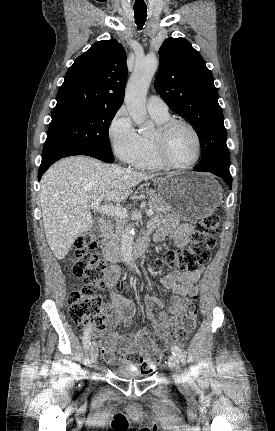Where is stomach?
<instances>
[{
	"instance_id": "1",
	"label": "stomach",
	"mask_w": 275,
	"mask_h": 431,
	"mask_svg": "<svg viewBox=\"0 0 275 431\" xmlns=\"http://www.w3.org/2000/svg\"><path fill=\"white\" fill-rule=\"evenodd\" d=\"M159 196L179 218L194 222L212 214L220 204L222 190L205 173H173L158 186Z\"/></svg>"
}]
</instances>
